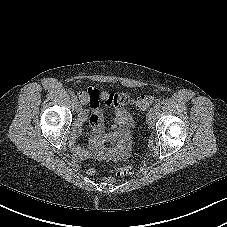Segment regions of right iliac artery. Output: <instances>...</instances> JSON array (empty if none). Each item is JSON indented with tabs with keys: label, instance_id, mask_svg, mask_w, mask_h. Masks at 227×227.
<instances>
[{
	"label": "right iliac artery",
	"instance_id": "obj_1",
	"mask_svg": "<svg viewBox=\"0 0 227 227\" xmlns=\"http://www.w3.org/2000/svg\"><path fill=\"white\" fill-rule=\"evenodd\" d=\"M71 98L74 102L77 101V96L75 94H72Z\"/></svg>",
	"mask_w": 227,
	"mask_h": 227
}]
</instances>
